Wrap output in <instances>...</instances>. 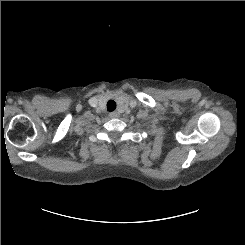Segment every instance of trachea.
<instances>
[{
    "label": "trachea",
    "mask_w": 245,
    "mask_h": 245,
    "mask_svg": "<svg viewBox=\"0 0 245 245\" xmlns=\"http://www.w3.org/2000/svg\"><path fill=\"white\" fill-rule=\"evenodd\" d=\"M107 109L110 112L114 111L116 109V102L114 100H109L107 102Z\"/></svg>",
    "instance_id": "obj_1"
}]
</instances>
